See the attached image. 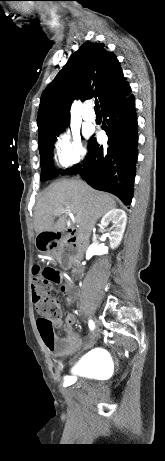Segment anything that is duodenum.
I'll list each match as a JSON object with an SVG mask.
<instances>
[{"mask_svg": "<svg viewBox=\"0 0 165 461\" xmlns=\"http://www.w3.org/2000/svg\"><path fill=\"white\" fill-rule=\"evenodd\" d=\"M53 238H57L58 240L66 244H71V245L76 246L77 254L79 255V257L82 256L83 244L78 240L77 233L75 230L67 229V230L57 231L53 234Z\"/></svg>", "mask_w": 165, "mask_h": 461, "instance_id": "obj_1", "label": "duodenum"}]
</instances>
